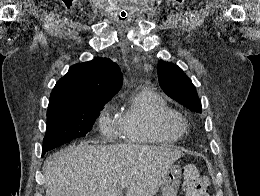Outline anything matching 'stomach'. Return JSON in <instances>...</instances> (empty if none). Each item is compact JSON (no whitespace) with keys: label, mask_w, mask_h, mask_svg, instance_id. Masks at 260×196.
I'll return each mask as SVG.
<instances>
[{"label":"stomach","mask_w":260,"mask_h":196,"mask_svg":"<svg viewBox=\"0 0 260 196\" xmlns=\"http://www.w3.org/2000/svg\"><path fill=\"white\" fill-rule=\"evenodd\" d=\"M180 180V166H170L162 184H160L161 196H177Z\"/></svg>","instance_id":"obj_1"}]
</instances>
